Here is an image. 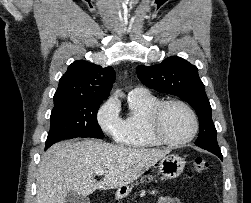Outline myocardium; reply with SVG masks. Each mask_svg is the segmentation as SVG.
<instances>
[{
    "mask_svg": "<svg viewBox=\"0 0 251 203\" xmlns=\"http://www.w3.org/2000/svg\"><path fill=\"white\" fill-rule=\"evenodd\" d=\"M172 104H177L184 107L187 112L190 114L193 122V128L191 133L184 139L174 140L167 137L161 129V120L162 115L166 107ZM147 130L150 136L159 142L160 144L171 145V146H178L184 145L191 142L197 135L199 130V120L195 110L184 100L181 99H168L159 101L155 104L149 111L147 116Z\"/></svg>",
    "mask_w": 251,
    "mask_h": 203,
    "instance_id": "myocardium-1",
    "label": "myocardium"
}]
</instances>
